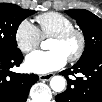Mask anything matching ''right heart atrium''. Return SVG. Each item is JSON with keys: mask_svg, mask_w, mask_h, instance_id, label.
Returning <instances> with one entry per match:
<instances>
[{"mask_svg": "<svg viewBox=\"0 0 102 102\" xmlns=\"http://www.w3.org/2000/svg\"><path fill=\"white\" fill-rule=\"evenodd\" d=\"M14 37L18 48L24 53L37 48L42 40L39 29L30 19H23L17 25Z\"/></svg>", "mask_w": 102, "mask_h": 102, "instance_id": "right-heart-atrium-1", "label": "right heart atrium"}]
</instances>
